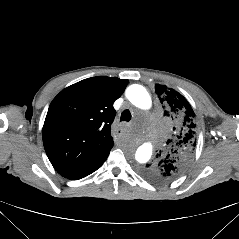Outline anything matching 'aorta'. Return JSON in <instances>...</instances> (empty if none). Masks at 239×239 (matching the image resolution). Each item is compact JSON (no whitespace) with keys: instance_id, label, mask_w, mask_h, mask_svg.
I'll use <instances>...</instances> for the list:
<instances>
[{"instance_id":"obj_1","label":"aorta","mask_w":239,"mask_h":239,"mask_svg":"<svg viewBox=\"0 0 239 239\" xmlns=\"http://www.w3.org/2000/svg\"><path fill=\"white\" fill-rule=\"evenodd\" d=\"M127 99L137 108L147 110L151 107V98L146 89L141 85H131L126 90ZM139 137V136H138ZM139 138V143H140ZM153 151V145L144 143L139 145L135 154L131 159L135 160L139 165H143L149 161Z\"/></svg>"}]
</instances>
